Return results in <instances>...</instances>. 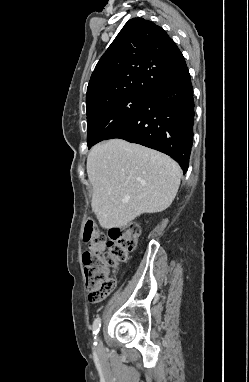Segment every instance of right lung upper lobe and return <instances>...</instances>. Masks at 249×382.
<instances>
[{"label": "right lung upper lobe", "mask_w": 249, "mask_h": 382, "mask_svg": "<svg viewBox=\"0 0 249 382\" xmlns=\"http://www.w3.org/2000/svg\"><path fill=\"white\" fill-rule=\"evenodd\" d=\"M186 66L175 42L160 26L129 20L97 63L87 88L86 107L120 97L149 94Z\"/></svg>", "instance_id": "1"}]
</instances>
